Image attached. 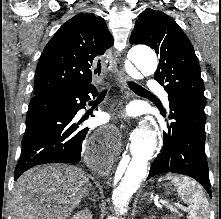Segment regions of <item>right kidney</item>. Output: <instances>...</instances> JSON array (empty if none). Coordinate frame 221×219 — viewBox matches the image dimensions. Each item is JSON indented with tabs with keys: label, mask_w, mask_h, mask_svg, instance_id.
I'll return each instance as SVG.
<instances>
[{
	"label": "right kidney",
	"mask_w": 221,
	"mask_h": 219,
	"mask_svg": "<svg viewBox=\"0 0 221 219\" xmlns=\"http://www.w3.org/2000/svg\"><path fill=\"white\" fill-rule=\"evenodd\" d=\"M92 214L88 209L77 212L71 219H91Z\"/></svg>",
	"instance_id": "ca27d5eb"
}]
</instances>
